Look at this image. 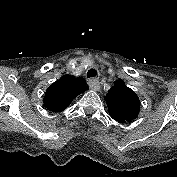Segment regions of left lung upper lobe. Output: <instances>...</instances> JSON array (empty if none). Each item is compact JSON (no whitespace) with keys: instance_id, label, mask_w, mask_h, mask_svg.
Here are the masks:
<instances>
[{"instance_id":"left-lung-upper-lobe-1","label":"left lung upper lobe","mask_w":177,"mask_h":177,"mask_svg":"<svg viewBox=\"0 0 177 177\" xmlns=\"http://www.w3.org/2000/svg\"><path fill=\"white\" fill-rule=\"evenodd\" d=\"M110 116L121 123L130 122L138 117L140 101L135 92L125 86L122 80L114 84L105 97Z\"/></svg>"}]
</instances>
